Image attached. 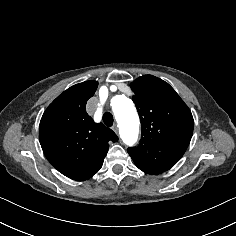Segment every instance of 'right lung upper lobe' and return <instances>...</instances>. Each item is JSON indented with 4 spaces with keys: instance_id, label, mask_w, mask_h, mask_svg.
Instances as JSON below:
<instances>
[{
    "instance_id": "obj_1",
    "label": "right lung upper lobe",
    "mask_w": 236,
    "mask_h": 236,
    "mask_svg": "<svg viewBox=\"0 0 236 236\" xmlns=\"http://www.w3.org/2000/svg\"><path fill=\"white\" fill-rule=\"evenodd\" d=\"M98 83L76 84L58 96L44 112L39 140L49 162L74 180L91 178L103 164L109 141L118 137L102 123L96 124L86 113V102Z\"/></svg>"
}]
</instances>
